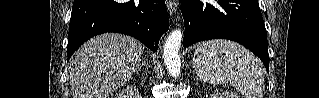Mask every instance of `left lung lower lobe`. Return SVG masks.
<instances>
[{"label":"left lung lower lobe","mask_w":319,"mask_h":98,"mask_svg":"<svg viewBox=\"0 0 319 98\" xmlns=\"http://www.w3.org/2000/svg\"><path fill=\"white\" fill-rule=\"evenodd\" d=\"M183 46L209 39L236 41L258 56L269 72L267 32L258 0H181Z\"/></svg>","instance_id":"left-lung-lower-lobe-1"}]
</instances>
